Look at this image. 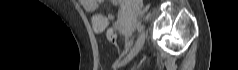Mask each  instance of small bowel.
I'll use <instances>...</instances> for the list:
<instances>
[{"label": "small bowel", "mask_w": 238, "mask_h": 70, "mask_svg": "<svg viewBox=\"0 0 238 70\" xmlns=\"http://www.w3.org/2000/svg\"><path fill=\"white\" fill-rule=\"evenodd\" d=\"M80 3L84 10L87 12L94 13L98 10L101 1L100 0H80ZM113 3L117 4V0H113ZM114 19L113 14L107 13V14H101V13H95L92 17V26L95 32L100 33L103 32L109 22Z\"/></svg>", "instance_id": "small-bowel-1"}]
</instances>
